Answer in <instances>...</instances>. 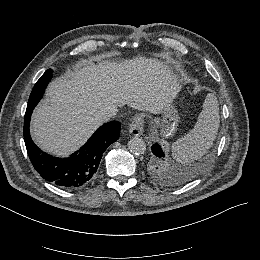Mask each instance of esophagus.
I'll use <instances>...</instances> for the list:
<instances>
[{"label": "esophagus", "mask_w": 260, "mask_h": 260, "mask_svg": "<svg viewBox=\"0 0 260 260\" xmlns=\"http://www.w3.org/2000/svg\"><path fill=\"white\" fill-rule=\"evenodd\" d=\"M144 131V117L136 115L129 124V133L133 136H139Z\"/></svg>", "instance_id": "34e87169"}]
</instances>
